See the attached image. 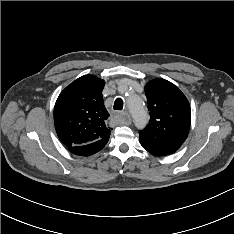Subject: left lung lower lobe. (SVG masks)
<instances>
[{"mask_svg":"<svg viewBox=\"0 0 234 234\" xmlns=\"http://www.w3.org/2000/svg\"><path fill=\"white\" fill-rule=\"evenodd\" d=\"M140 143L145 150L156 156L172 154L181 146L171 140L146 138L144 136H140Z\"/></svg>","mask_w":234,"mask_h":234,"instance_id":"1","label":"left lung lower lobe"}]
</instances>
